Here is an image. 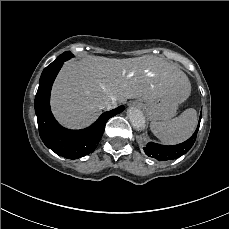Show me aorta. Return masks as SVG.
I'll return each instance as SVG.
<instances>
[{"label":"aorta","instance_id":"aorta-1","mask_svg":"<svg viewBox=\"0 0 229 229\" xmlns=\"http://www.w3.org/2000/svg\"><path fill=\"white\" fill-rule=\"evenodd\" d=\"M128 119L136 130H142L145 127L144 114L137 108L131 107L127 111Z\"/></svg>","mask_w":229,"mask_h":229}]
</instances>
